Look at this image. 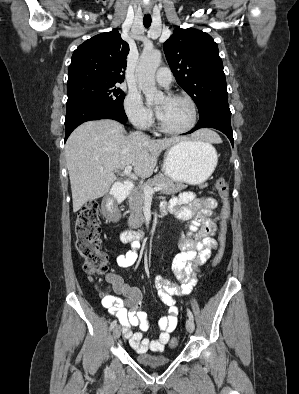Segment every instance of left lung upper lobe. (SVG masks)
I'll return each mask as SVG.
<instances>
[{
  "instance_id": "1",
  "label": "left lung upper lobe",
  "mask_w": 299,
  "mask_h": 394,
  "mask_svg": "<svg viewBox=\"0 0 299 394\" xmlns=\"http://www.w3.org/2000/svg\"><path fill=\"white\" fill-rule=\"evenodd\" d=\"M177 83L192 97L199 115L218 103H228L218 45L200 30L177 27L163 45Z\"/></svg>"
}]
</instances>
